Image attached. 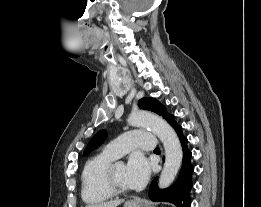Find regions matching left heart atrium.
<instances>
[{"instance_id": "1", "label": "left heart atrium", "mask_w": 261, "mask_h": 207, "mask_svg": "<svg viewBox=\"0 0 261 207\" xmlns=\"http://www.w3.org/2000/svg\"><path fill=\"white\" fill-rule=\"evenodd\" d=\"M150 162L140 153L133 154L126 165V180L130 188H140L148 180Z\"/></svg>"}]
</instances>
